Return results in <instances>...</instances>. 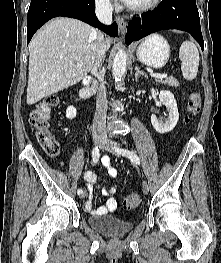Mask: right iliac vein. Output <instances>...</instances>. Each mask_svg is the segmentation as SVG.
<instances>
[{
	"instance_id": "right-iliac-vein-1",
	"label": "right iliac vein",
	"mask_w": 221,
	"mask_h": 263,
	"mask_svg": "<svg viewBox=\"0 0 221 263\" xmlns=\"http://www.w3.org/2000/svg\"><path fill=\"white\" fill-rule=\"evenodd\" d=\"M103 140H104V138H103L102 136H100V135H95L94 138H93L94 144H95L96 146H101V144L103 143ZM85 196H86V192H82V193L79 195V197H80L81 199H83Z\"/></svg>"
}]
</instances>
